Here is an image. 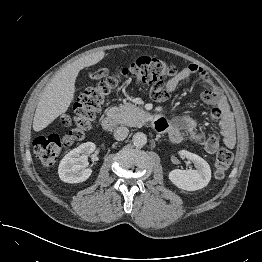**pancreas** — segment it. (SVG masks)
I'll use <instances>...</instances> for the list:
<instances>
[{
	"instance_id": "cf45deb5",
	"label": "pancreas",
	"mask_w": 262,
	"mask_h": 262,
	"mask_svg": "<svg viewBox=\"0 0 262 262\" xmlns=\"http://www.w3.org/2000/svg\"><path fill=\"white\" fill-rule=\"evenodd\" d=\"M110 112L114 119L123 125L130 127L142 126L146 113L136 105L126 102L118 107H113Z\"/></svg>"
}]
</instances>
